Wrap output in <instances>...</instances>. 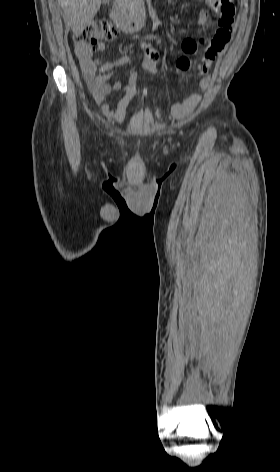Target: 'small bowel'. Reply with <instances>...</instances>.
<instances>
[{"label":"small bowel","instance_id":"1","mask_svg":"<svg viewBox=\"0 0 280 472\" xmlns=\"http://www.w3.org/2000/svg\"><path fill=\"white\" fill-rule=\"evenodd\" d=\"M213 0H205L206 4L212 6ZM198 22L201 26L209 24L208 13L202 10L198 15ZM233 34V21L229 25H218L214 30L212 36H203L199 40L191 38L185 39L182 43L183 56L180 59L191 60V57L196 55L200 48L203 49V60L199 66V79L197 86L206 91L210 85V77L207 74L211 62L215 56L223 51L227 43L230 41ZM98 49H104V44L100 43ZM75 53L80 61L82 76L84 82L95 99L100 105L102 112L108 118L118 121L121 120L126 108L136 93L138 81L140 79V72H133L127 83L109 84L114 72L125 66L129 62L127 55L121 56L117 59L101 62L94 59L92 56V49L81 44L75 45ZM141 67L144 71L150 74H157L158 72V54L152 49H146V53L141 59ZM123 93L122 99L119 101L117 108L112 109L108 103V96L113 92ZM201 95L191 94L173 104L171 108V116L176 120L186 118L200 103ZM156 115L159 117L160 112L157 109Z\"/></svg>","mask_w":280,"mask_h":472}]
</instances>
